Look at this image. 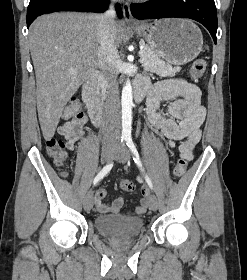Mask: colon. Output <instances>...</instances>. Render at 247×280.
I'll return each mask as SVG.
<instances>
[{
	"instance_id": "obj_1",
	"label": "colon",
	"mask_w": 247,
	"mask_h": 280,
	"mask_svg": "<svg viewBox=\"0 0 247 280\" xmlns=\"http://www.w3.org/2000/svg\"><path fill=\"white\" fill-rule=\"evenodd\" d=\"M206 62L203 59L196 60L190 69V76L193 80H200L205 73ZM66 116L73 118H81L84 116L79 100L72 99L67 106ZM46 149L48 154L53 158L56 164H62L67 158L65 143L57 139H49L46 142ZM187 169V162L184 159H179L174 166V175L181 177ZM121 187L125 191H132L134 186L131 181L124 180L121 182Z\"/></svg>"
}]
</instances>
